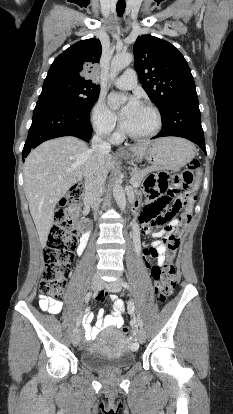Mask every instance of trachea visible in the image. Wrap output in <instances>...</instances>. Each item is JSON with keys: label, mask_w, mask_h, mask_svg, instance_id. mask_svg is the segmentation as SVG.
Wrapping results in <instances>:
<instances>
[{"label": "trachea", "mask_w": 233, "mask_h": 414, "mask_svg": "<svg viewBox=\"0 0 233 414\" xmlns=\"http://www.w3.org/2000/svg\"><path fill=\"white\" fill-rule=\"evenodd\" d=\"M125 7H126L125 0H119L116 5V11H117L118 16L121 17L124 14Z\"/></svg>", "instance_id": "1"}]
</instances>
